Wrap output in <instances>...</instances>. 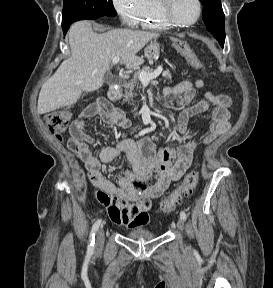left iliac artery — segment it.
Wrapping results in <instances>:
<instances>
[{"label":"left iliac artery","instance_id":"obj_1","mask_svg":"<svg viewBox=\"0 0 273 288\" xmlns=\"http://www.w3.org/2000/svg\"><path fill=\"white\" fill-rule=\"evenodd\" d=\"M180 217H181V219H183V220H186V219H187V215H186V213H185L184 211H181Z\"/></svg>","mask_w":273,"mask_h":288}]
</instances>
